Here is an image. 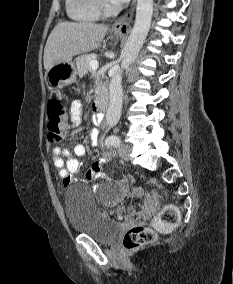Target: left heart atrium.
Segmentation results:
<instances>
[{"mask_svg": "<svg viewBox=\"0 0 233 284\" xmlns=\"http://www.w3.org/2000/svg\"><path fill=\"white\" fill-rule=\"evenodd\" d=\"M110 1L114 4H122V3L127 2L128 0H110Z\"/></svg>", "mask_w": 233, "mask_h": 284, "instance_id": "left-heart-atrium-1", "label": "left heart atrium"}]
</instances>
